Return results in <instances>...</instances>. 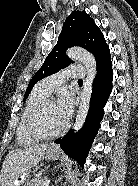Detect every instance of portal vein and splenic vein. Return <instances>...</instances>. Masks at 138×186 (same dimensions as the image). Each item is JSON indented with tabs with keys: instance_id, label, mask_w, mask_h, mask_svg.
I'll return each mask as SVG.
<instances>
[{
	"instance_id": "obj_1",
	"label": "portal vein and splenic vein",
	"mask_w": 138,
	"mask_h": 186,
	"mask_svg": "<svg viewBox=\"0 0 138 186\" xmlns=\"http://www.w3.org/2000/svg\"><path fill=\"white\" fill-rule=\"evenodd\" d=\"M49 182H50V180L46 179V180L43 182V186H48V185H49Z\"/></svg>"
}]
</instances>
